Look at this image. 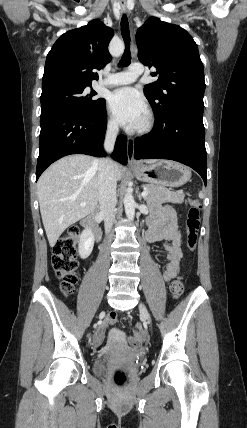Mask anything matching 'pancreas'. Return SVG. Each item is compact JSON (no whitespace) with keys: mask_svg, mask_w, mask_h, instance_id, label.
<instances>
[{"mask_svg":"<svg viewBox=\"0 0 247 428\" xmlns=\"http://www.w3.org/2000/svg\"><path fill=\"white\" fill-rule=\"evenodd\" d=\"M144 190L148 191L145 200L148 203H182L184 195L182 193L173 192L161 185H142Z\"/></svg>","mask_w":247,"mask_h":428,"instance_id":"obj_1","label":"pancreas"}]
</instances>
